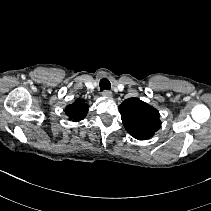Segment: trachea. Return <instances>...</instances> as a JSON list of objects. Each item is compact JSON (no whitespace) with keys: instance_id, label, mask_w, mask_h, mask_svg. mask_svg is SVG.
Masks as SVG:
<instances>
[{"instance_id":"1","label":"trachea","mask_w":211,"mask_h":211,"mask_svg":"<svg viewBox=\"0 0 211 211\" xmlns=\"http://www.w3.org/2000/svg\"><path fill=\"white\" fill-rule=\"evenodd\" d=\"M99 86H100L101 91L110 90V88H111V84L107 78L101 79Z\"/></svg>"}]
</instances>
